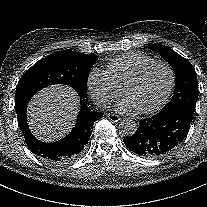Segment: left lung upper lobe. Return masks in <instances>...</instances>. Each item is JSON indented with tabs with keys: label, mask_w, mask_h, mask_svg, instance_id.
Listing matches in <instances>:
<instances>
[{
	"label": "left lung upper lobe",
	"mask_w": 207,
	"mask_h": 207,
	"mask_svg": "<svg viewBox=\"0 0 207 207\" xmlns=\"http://www.w3.org/2000/svg\"><path fill=\"white\" fill-rule=\"evenodd\" d=\"M148 48L160 54L172 66L176 75L174 95L162 110L183 108L194 114L198 99V82L191 63L167 46L151 44Z\"/></svg>",
	"instance_id": "left-lung-upper-lobe-1"
}]
</instances>
